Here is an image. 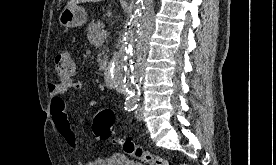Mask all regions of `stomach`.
Instances as JSON below:
<instances>
[{
	"instance_id": "1",
	"label": "stomach",
	"mask_w": 276,
	"mask_h": 165,
	"mask_svg": "<svg viewBox=\"0 0 276 165\" xmlns=\"http://www.w3.org/2000/svg\"><path fill=\"white\" fill-rule=\"evenodd\" d=\"M87 14L83 7L78 5L74 7H65L60 16L59 22L66 28L80 27L86 23Z\"/></svg>"
}]
</instances>
